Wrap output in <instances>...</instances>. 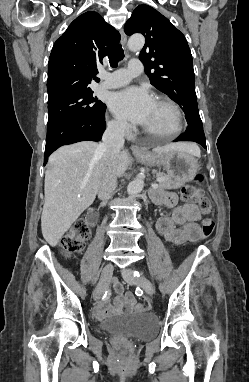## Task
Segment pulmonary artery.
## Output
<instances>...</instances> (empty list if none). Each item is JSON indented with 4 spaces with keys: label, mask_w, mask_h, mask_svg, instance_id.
Returning <instances> with one entry per match:
<instances>
[{
    "label": "pulmonary artery",
    "mask_w": 249,
    "mask_h": 382,
    "mask_svg": "<svg viewBox=\"0 0 249 382\" xmlns=\"http://www.w3.org/2000/svg\"><path fill=\"white\" fill-rule=\"evenodd\" d=\"M143 70V64L138 59L129 61L126 68L118 69L113 73L101 72L100 87L104 89H115L127 85L134 77Z\"/></svg>",
    "instance_id": "1"
}]
</instances>
